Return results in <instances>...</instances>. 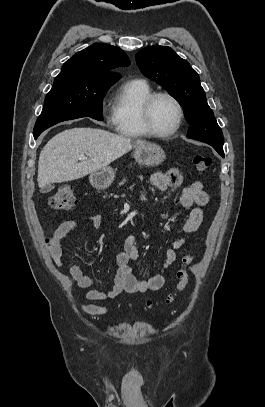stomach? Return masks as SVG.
<instances>
[{
    "mask_svg": "<svg viewBox=\"0 0 265 407\" xmlns=\"http://www.w3.org/2000/svg\"><path fill=\"white\" fill-rule=\"evenodd\" d=\"M163 149L153 143H144L135 147L134 158L143 166H157L165 160ZM115 177L113 168L107 166L90 174V183L97 189H105L111 185Z\"/></svg>",
    "mask_w": 265,
    "mask_h": 407,
    "instance_id": "1",
    "label": "stomach"
}]
</instances>
